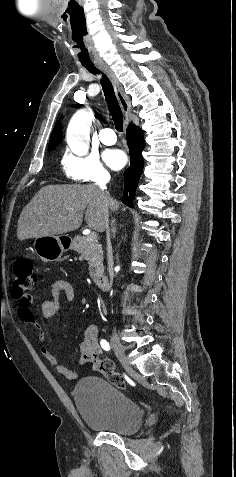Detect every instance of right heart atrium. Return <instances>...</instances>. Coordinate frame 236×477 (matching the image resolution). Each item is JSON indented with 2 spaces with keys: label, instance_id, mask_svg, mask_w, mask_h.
<instances>
[{
  "label": "right heart atrium",
  "instance_id": "d8ad5b80",
  "mask_svg": "<svg viewBox=\"0 0 236 477\" xmlns=\"http://www.w3.org/2000/svg\"><path fill=\"white\" fill-rule=\"evenodd\" d=\"M62 169L66 177L81 184L104 183L109 173L97 156L67 153L62 159Z\"/></svg>",
  "mask_w": 236,
  "mask_h": 477
}]
</instances>
